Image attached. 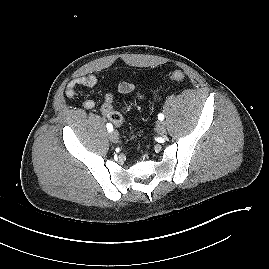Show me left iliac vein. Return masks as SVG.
<instances>
[{
	"instance_id": "obj_1",
	"label": "left iliac vein",
	"mask_w": 269,
	"mask_h": 269,
	"mask_svg": "<svg viewBox=\"0 0 269 269\" xmlns=\"http://www.w3.org/2000/svg\"><path fill=\"white\" fill-rule=\"evenodd\" d=\"M156 131L160 135H164L166 132V123L163 121H159L156 125Z\"/></svg>"
}]
</instances>
